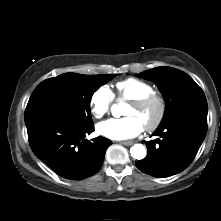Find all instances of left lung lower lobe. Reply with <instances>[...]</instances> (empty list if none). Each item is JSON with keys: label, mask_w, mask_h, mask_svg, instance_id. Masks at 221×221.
I'll use <instances>...</instances> for the list:
<instances>
[{"label": "left lung lower lobe", "mask_w": 221, "mask_h": 221, "mask_svg": "<svg viewBox=\"0 0 221 221\" xmlns=\"http://www.w3.org/2000/svg\"><path fill=\"white\" fill-rule=\"evenodd\" d=\"M207 112V107L192 108L159 125L153 133L159 138L145 141L147 156L136 162L137 168L154 177H169L186 169L206 136Z\"/></svg>", "instance_id": "1"}]
</instances>
